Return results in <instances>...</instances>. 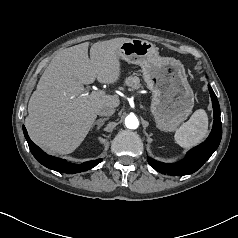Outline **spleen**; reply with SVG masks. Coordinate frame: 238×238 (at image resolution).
Here are the masks:
<instances>
[{
	"mask_svg": "<svg viewBox=\"0 0 238 238\" xmlns=\"http://www.w3.org/2000/svg\"><path fill=\"white\" fill-rule=\"evenodd\" d=\"M208 134V116L203 109L196 110L190 119L175 132V142L183 148L199 144Z\"/></svg>",
	"mask_w": 238,
	"mask_h": 238,
	"instance_id": "3e777b00",
	"label": "spleen"
}]
</instances>
